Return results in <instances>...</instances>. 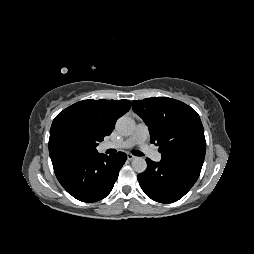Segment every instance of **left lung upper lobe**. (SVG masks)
I'll use <instances>...</instances> for the list:
<instances>
[{"mask_svg":"<svg viewBox=\"0 0 254 254\" xmlns=\"http://www.w3.org/2000/svg\"><path fill=\"white\" fill-rule=\"evenodd\" d=\"M159 146L161 162L202 168L206 152L204 129L197 112L185 103L155 97L132 102Z\"/></svg>","mask_w":254,"mask_h":254,"instance_id":"5c2ea615","label":"left lung upper lobe"}]
</instances>
